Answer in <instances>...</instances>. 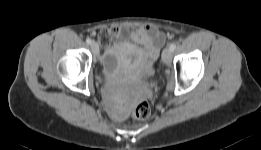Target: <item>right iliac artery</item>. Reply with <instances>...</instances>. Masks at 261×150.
Masks as SVG:
<instances>
[{
    "mask_svg": "<svg viewBox=\"0 0 261 150\" xmlns=\"http://www.w3.org/2000/svg\"><path fill=\"white\" fill-rule=\"evenodd\" d=\"M86 43H87V44H91V43H92V40H91L90 38H87V39H86Z\"/></svg>",
    "mask_w": 261,
    "mask_h": 150,
    "instance_id": "82829eb1",
    "label": "right iliac artery"
}]
</instances>
